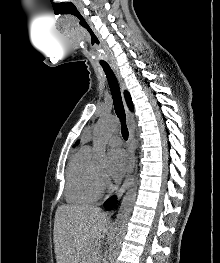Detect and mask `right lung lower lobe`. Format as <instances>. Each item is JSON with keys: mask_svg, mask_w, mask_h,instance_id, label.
Wrapping results in <instances>:
<instances>
[{"mask_svg": "<svg viewBox=\"0 0 220 263\" xmlns=\"http://www.w3.org/2000/svg\"><path fill=\"white\" fill-rule=\"evenodd\" d=\"M115 200H116V197L113 196L111 197L110 199H108L105 204H104V207L107 209V210H110L114 204H115Z\"/></svg>", "mask_w": 220, "mask_h": 263, "instance_id": "obj_1", "label": "right lung lower lobe"}]
</instances>
